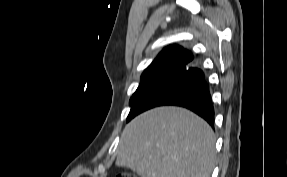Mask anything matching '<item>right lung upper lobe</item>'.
<instances>
[{
	"label": "right lung upper lobe",
	"instance_id": "right-lung-upper-lobe-1",
	"mask_svg": "<svg viewBox=\"0 0 287 177\" xmlns=\"http://www.w3.org/2000/svg\"><path fill=\"white\" fill-rule=\"evenodd\" d=\"M169 60L180 61L181 66H183V65H187L192 62L193 55L191 54V52L184 49L183 47L178 46V45H173V46L164 48L159 53L157 58L151 63V65L161 63L164 61H169Z\"/></svg>",
	"mask_w": 287,
	"mask_h": 177
}]
</instances>
